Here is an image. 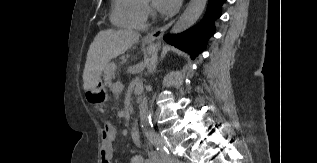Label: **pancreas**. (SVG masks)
Segmentation results:
<instances>
[{"label": "pancreas", "instance_id": "1", "mask_svg": "<svg viewBox=\"0 0 317 163\" xmlns=\"http://www.w3.org/2000/svg\"><path fill=\"white\" fill-rule=\"evenodd\" d=\"M115 69L116 65L114 63H109L104 69L103 78L105 81V84L108 85L112 90L111 81L115 77Z\"/></svg>", "mask_w": 317, "mask_h": 163}]
</instances>
